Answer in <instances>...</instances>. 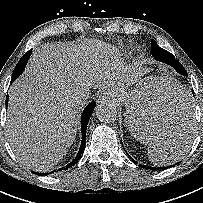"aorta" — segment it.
<instances>
[{"label":"aorta","instance_id":"762f6f07","mask_svg":"<svg viewBox=\"0 0 203 203\" xmlns=\"http://www.w3.org/2000/svg\"><path fill=\"white\" fill-rule=\"evenodd\" d=\"M97 118L104 123L114 122L117 118L116 108L110 103H102L96 108Z\"/></svg>","mask_w":203,"mask_h":203}]
</instances>
